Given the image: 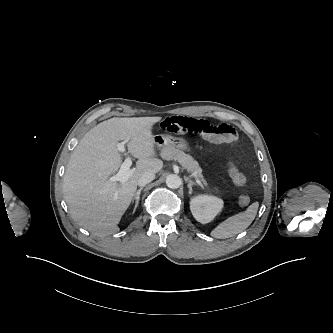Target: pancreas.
Instances as JSON below:
<instances>
[{"label": "pancreas", "instance_id": "cf45deb5", "mask_svg": "<svg viewBox=\"0 0 333 333\" xmlns=\"http://www.w3.org/2000/svg\"><path fill=\"white\" fill-rule=\"evenodd\" d=\"M160 155L165 160H177L188 172L192 173L206 184V181L203 179L202 169L198 162L190 155L185 154L183 151L173 146L162 149Z\"/></svg>", "mask_w": 333, "mask_h": 333}]
</instances>
